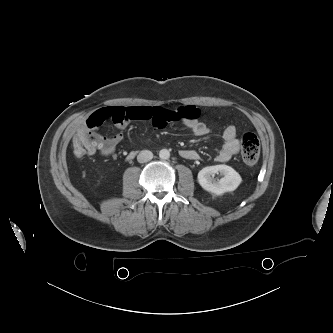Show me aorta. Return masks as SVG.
Returning <instances> with one entry per match:
<instances>
[{
    "label": "aorta",
    "mask_w": 333,
    "mask_h": 333,
    "mask_svg": "<svg viewBox=\"0 0 333 333\" xmlns=\"http://www.w3.org/2000/svg\"><path fill=\"white\" fill-rule=\"evenodd\" d=\"M159 157L162 159V160H167L170 158V152L169 150L167 149H161L159 151Z\"/></svg>",
    "instance_id": "aorta-1"
}]
</instances>
